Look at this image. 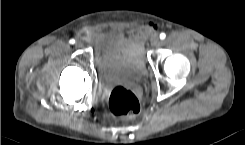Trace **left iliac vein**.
I'll return each mask as SVG.
<instances>
[{
  "mask_svg": "<svg viewBox=\"0 0 245 145\" xmlns=\"http://www.w3.org/2000/svg\"><path fill=\"white\" fill-rule=\"evenodd\" d=\"M160 39L157 35H154L151 37V45L152 46H158L160 44Z\"/></svg>",
  "mask_w": 245,
  "mask_h": 145,
  "instance_id": "left-iliac-vein-1",
  "label": "left iliac vein"
}]
</instances>
